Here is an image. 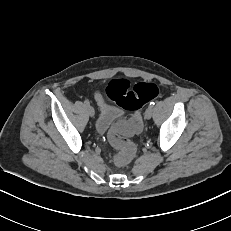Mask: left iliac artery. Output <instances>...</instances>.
Segmentation results:
<instances>
[{"mask_svg":"<svg viewBox=\"0 0 231 231\" xmlns=\"http://www.w3.org/2000/svg\"><path fill=\"white\" fill-rule=\"evenodd\" d=\"M154 105H155V102L154 101H152V102H150V107H154Z\"/></svg>","mask_w":231,"mask_h":231,"instance_id":"left-iliac-artery-1","label":"left iliac artery"}]
</instances>
